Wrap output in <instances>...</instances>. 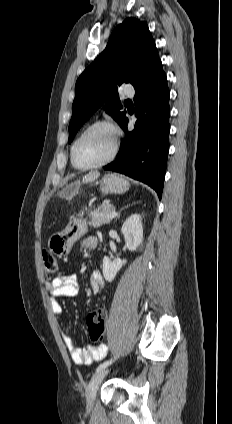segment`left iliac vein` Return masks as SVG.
Here are the masks:
<instances>
[{"instance_id":"4c4485c4","label":"left iliac vein","mask_w":232,"mask_h":424,"mask_svg":"<svg viewBox=\"0 0 232 424\" xmlns=\"http://www.w3.org/2000/svg\"><path fill=\"white\" fill-rule=\"evenodd\" d=\"M107 373L108 369H102L91 378L85 393L87 410H91V408L93 407L96 392Z\"/></svg>"}]
</instances>
